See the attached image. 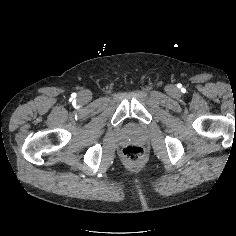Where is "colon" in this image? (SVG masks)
I'll return each mask as SVG.
<instances>
[{"mask_svg":"<svg viewBox=\"0 0 236 236\" xmlns=\"http://www.w3.org/2000/svg\"><path fill=\"white\" fill-rule=\"evenodd\" d=\"M123 157L128 162H138L143 158L144 150L138 145H128L122 151Z\"/></svg>","mask_w":236,"mask_h":236,"instance_id":"5ec220e1","label":"colon"}]
</instances>
